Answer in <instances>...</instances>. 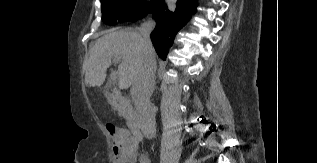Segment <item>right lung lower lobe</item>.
I'll list each match as a JSON object with an SVG mask.
<instances>
[{
    "label": "right lung lower lobe",
    "mask_w": 317,
    "mask_h": 163,
    "mask_svg": "<svg viewBox=\"0 0 317 163\" xmlns=\"http://www.w3.org/2000/svg\"><path fill=\"white\" fill-rule=\"evenodd\" d=\"M197 0H178L176 10L171 12L167 5L160 0L151 11L157 21L151 40L158 55L165 60L168 48L172 45L176 33L188 22L196 12Z\"/></svg>",
    "instance_id": "right-lung-lower-lobe-1"
}]
</instances>
